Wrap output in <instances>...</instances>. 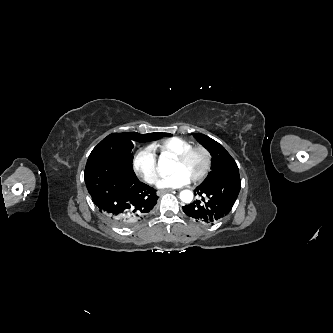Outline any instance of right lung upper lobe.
<instances>
[{
  "label": "right lung upper lobe",
  "instance_id": "obj_1",
  "mask_svg": "<svg viewBox=\"0 0 333 333\" xmlns=\"http://www.w3.org/2000/svg\"><path fill=\"white\" fill-rule=\"evenodd\" d=\"M149 134H151V135H156V134H158V133H149Z\"/></svg>",
  "mask_w": 333,
  "mask_h": 333
}]
</instances>
